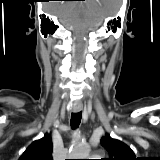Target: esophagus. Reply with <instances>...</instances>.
<instances>
[{"mask_svg": "<svg viewBox=\"0 0 160 160\" xmlns=\"http://www.w3.org/2000/svg\"><path fill=\"white\" fill-rule=\"evenodd\" d=\"M81 110H82V106L81 105L73 107V112H75V113L80 112Z\"/></svg>", "mask_w": 160, "mask_h": 160, "instance_id": "34e87169", "label": "esophagus"}]
</instances>
